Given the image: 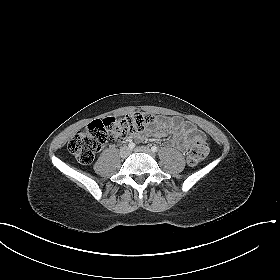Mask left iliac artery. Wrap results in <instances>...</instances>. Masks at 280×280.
Segmentation results:
<instances>
[{"label": "left iliac artery", "instance_id": "obj_1", "mask_svg": "<svg viewBox=\"0 0 280 280\" xmlns=\"http://www.w3.org/2000/svg\"><path fill=\"white\" fill-rule=\"evenodd\" d=\"M151 150H152L153 152H157V151H158V148H157L156 146H153V147L151 148Z\"/></svg>", "mask_w": 280, "mask_h": 280}]
</instances>
